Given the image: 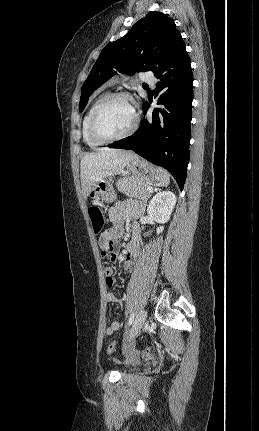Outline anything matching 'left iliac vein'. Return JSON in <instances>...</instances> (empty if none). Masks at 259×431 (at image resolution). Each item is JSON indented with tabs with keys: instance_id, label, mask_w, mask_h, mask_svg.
I'll return each mask as SVG.
<instances>
[{
	"instance_id": "1",
	"label": "left iliac vein",
	"mask_w": 259,
	"mask_h": 431,
	"mask_svg": "<svg viewBox=\"0 0 259 431\" xmlns=\"http://www.w3.org/2000/svg\"><path fill=\"white\" fill-rule=\"evenodd\" d=\"M145 320H146V311L140 310L135 318V321L132 325L130 333L126 337L127 343L131 342L135 338V336L140 332L142 326L144 325Z\"/></svg>"
}]
</instances>
